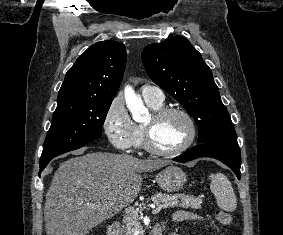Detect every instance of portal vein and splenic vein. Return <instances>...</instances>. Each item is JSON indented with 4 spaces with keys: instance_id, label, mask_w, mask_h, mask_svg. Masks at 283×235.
I'll return each instance as SVG.
<instances>
[{
    "instance_id": "portal-vein-and-splenic-vein-1",
    "label": "portal vein and splenic vein",
    "mask_w": 283,
    "mask_h": 235,
    "mask_svg": "<svg viewBox=\"0 0 283 235\" xmlns=\"http://www.w3.org/2000/svg\"><path fill=\"white\" fill-rule=\"evenodd\" d=\"M151 208H152V214H157L162 209V205H157V206L152 205ZM125 212H126L127 215L138 214L137 210L134 209L133 207H130V206L125 209Z\"/></svg>"
}]
</instances>
